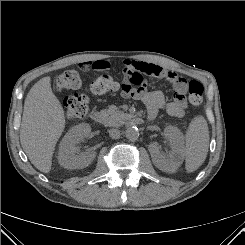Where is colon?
Returning a JSON list of instances; mask_svg holds the SVG:
<instances>
[{"label": "colon", "mask_w": 245, "mask_h": 245, "mask_svg": "<svg viewBox=\"0 0 245 245\" xmlns=\"http://www.w3.org/2000/svg\"><path fill=\"white\" fill-rule=\"evenodd\" d=\"M135 84H140L143 80L142 76L135 74L132 78ZM60 91L76 90L80 86V78L76 71L67 70L60 74L56 82ZM118 88L117 82L109 74H103L95 78L91 83V90L97 95L106 94ZM204 87L197 80L188 82L189 101L192 105L198 106L203 99ZM65 115L68 120L81 119L85 117L89 111V102L86 96L82 94H73L64 101Z\"/></svg>", "instance_id": "obj_1"}]
</instances>
